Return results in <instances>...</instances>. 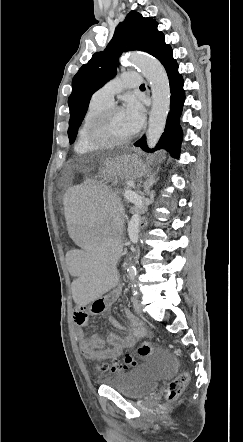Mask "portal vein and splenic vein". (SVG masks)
I'll use <instances>...</instances> for the list:
<instances>
[{
    "mask_svg": "<svg viewBox=\"0 0 243 442\" xmlns=\"http://www.w3.org/2000/svg\"><path fill=\"white\" fill-rule=\"evenodd\" d=\"M124 197H125L127 200H132V199H135V198H136V193L133 192V191H130V190H125V192H124Z\"/></svg>",
    "mask_w": 243,
    "mask_h": 442,
    "instance_id": "18ae733b",
    "label": "portal vein and splenic vein"
}]
</instances>
